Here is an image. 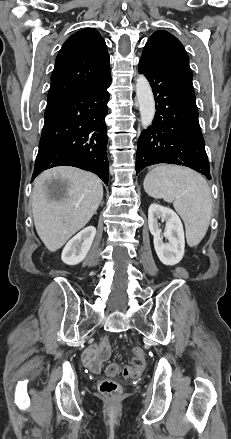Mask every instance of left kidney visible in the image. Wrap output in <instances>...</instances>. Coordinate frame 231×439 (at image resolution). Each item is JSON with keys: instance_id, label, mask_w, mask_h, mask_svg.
I'll list each match as a JSON object with an SVG mask.
<instances>
[{"instance_id": "1", "label": "left kidney", "mask_w": 231, "mask_h": 439, "mask_svg": "<svg viewBox=\"0 0 231 439\" xmlns=\"http://www.w3.org/2000/svg\"><path fill=\"white\" fill-rule=\"evenodd\" d=\"M159 219L166 222L164 237L168 239L167 243H164L161 237ZM148 225L154 237V248L160 261L170 266L179 263L183 258L185 248L184 230L179 216L170 208L151 204L148 209Z\"/></svg>"}]
</instances>
